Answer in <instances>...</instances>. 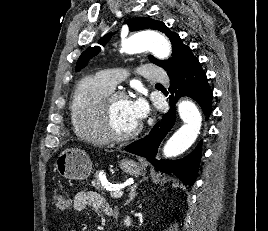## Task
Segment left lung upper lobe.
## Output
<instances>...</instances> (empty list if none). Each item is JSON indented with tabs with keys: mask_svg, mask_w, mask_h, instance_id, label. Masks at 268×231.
I'll return each instance as SVG.
<instances>
[{
	"mask_svg": "<svg viewBox=\"0 0 268 231\" xmlns=\"http://www.w3.org/2000/svg\"><path fill=\"white\" fill-rule=\"evenodd\" d=\"M129 26L130 31H138L143 29H154L163 32L171 41L172 44V57L168 60H157L150 56V61L162 67L168 74L183 68L187 62L195 57L189 46L183 44L179 35L171 31L163 22L154 20L150 17L133 18L125 21ZM110 34L102 37L98 42L100 45H105ZM99 46L88 47L79 57L76 65V71H79L87 64V61L95 56L100 51Z\"/></svg>",
	"mask_w": 268,
	"mask_h": 231,
	"instance_id": "obj_1",
	"label": "left lung upper lobe"
}]
</instances>
